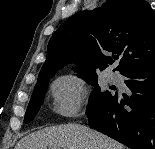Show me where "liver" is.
<instances>
[{"instance_id": "obj_1", "label": "liver", "mask_w": 155, "mask_h": 149, "mask_svg": "<svg viewBox=\"0 0 155 149\" xmlns=\"http://www.w3.org/2000/svg\"><path fill=\"white\" fill-rule=\"evenodd\" d=\"M15 149H124L106 135L79 124L46 127L30 133Z\"/></svg>"}]
</instances>
